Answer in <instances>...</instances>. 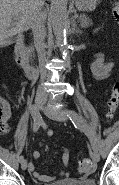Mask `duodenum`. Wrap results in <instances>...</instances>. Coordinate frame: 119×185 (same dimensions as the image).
<instances>
[{"label": "duodenum", "instance_id": "obj_1", "mask_svg": "<svg viewBox=\"0 0 119 185\" xmlns=\"http://www.w3.org/2000/svg\"><path fill=\"white\" fill-rule=\"evenodd\" d=\"M15 59L17 64L23 69L27 78L35 79L37 77L38 70L29 62L28 51L23 36L17 38Z\"/></svg>", "mask_w": 119, "mask_h": 185}]
</instances>
